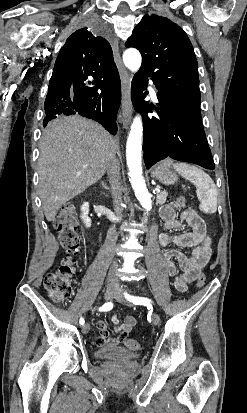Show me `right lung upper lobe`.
<instances>
[{
	"label": "right lung upper lobe",
	"mask_w": 247,
	"mask_h": 413,
	"mask_svg": "<svg viewBox=\"0 0 247 413\" xmlns=\"http://www.w3.org/2000/svg\"><path fill=\"white\" fill-rule=\"evenodd\" d=\"M117 71L108 41L94 36L88 28L74 32L61 48L53 74L70 72L87 76L109 75Z\"/></svg>",
	"instance_id": "cb5924a9"
}]
</instances>
